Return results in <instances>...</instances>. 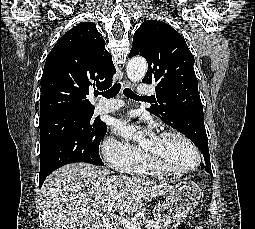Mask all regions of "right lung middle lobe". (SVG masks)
Listing matches in <instances>:
<instances>
[{
    "mask_svg": "<svg viewBox=\"0 0 255 229\" xmlns=\"http://www.w3.org/2000/svg\"><path fill=\"white\" fill-rule=\"evenodd\" d=\"M92 115L56 113L40 118V174L75 162L103 164L98 149L107 126Z\"/></svg>",
    "mask_w": 255,
    "mask_h": 229,
    "instance_id": "right-lung-middle-lobe-1",
    "label": "right lung middle lobe"
}]
</instances>
